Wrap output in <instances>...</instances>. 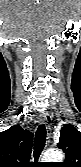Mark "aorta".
<instances>
[{
	"mask_svg": "<svg viewBox=\"0 0 81 167\" xmlns=\"http://www.w3.org/2000/svg\"><path fill=\"white\" fill-rule=\"evenodd\" d=\"M63 159L64 155L59 150H48L42 157L43 162H62Z\"/></svg>",
	"mask_w": 81,
	"mask_h": 167,
	"instance_id": "aorta-1",
	"label": "aorta"
}]
</instances>
